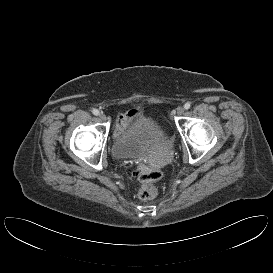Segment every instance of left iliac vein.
<instances>
[{
	"instance_id": "4c4485c4",
	"label": "left iliac vein",
	"mask_w": 273,
	"mask_h": 273,
	"mask_svg": "<svg viewBox=\"0 0 273 273\" xmlns=\"http://www.w3.org/2000/svg\"><path fill=\"white\" fill-rule=\"evenodd\" d=\"M184 108L183 107H179L178 109H177V114L178 115H183L184 114Z\"/></svg>"
}]
</instances>
